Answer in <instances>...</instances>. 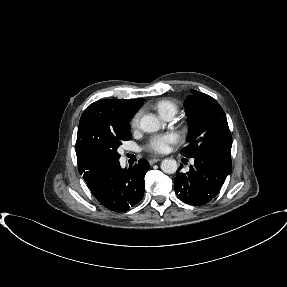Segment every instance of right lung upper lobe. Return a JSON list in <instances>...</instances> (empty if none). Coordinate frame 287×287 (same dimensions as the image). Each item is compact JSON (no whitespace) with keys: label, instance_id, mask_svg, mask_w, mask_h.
I'll return each mask as SVG.
<instances>
[{"label":"right lung upper lobe","instance_id":"1","mask_svg":"<svg viewBox=\"0 0 287 287\" xmlns=\"http://www.w3.org/2000/svg\"><path fill=\"white\" fill-rule=\"evenodd\" d=\"M144 99H105L89 105L83 112L77 133L78 171L86 183L103 165L105 145L110 138L129 130V121L143 105Z\"/></svg>","mask_w":287,"mask_h":287}]
</instances>
